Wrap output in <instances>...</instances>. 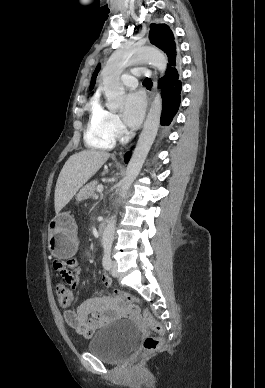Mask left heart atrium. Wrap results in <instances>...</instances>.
<instances>
[{"mask_svg": "<svg viewBox=\"0 0 265 388\" xmlns=\"http://www.w3.org/2000/svg\"><path fill=\"white\" fill-rule=\"evenodd\" d=\"M145 106V99L141 92L133 91L127 94L124 101V121L130 126H137L142 120Z\"/></svg>", "mask_w": 265, "mask_h": 388, "instance_id": "left-heart-atrium-1", "label": "left heart atrium"}]
</instances>
